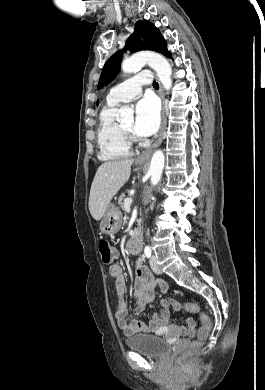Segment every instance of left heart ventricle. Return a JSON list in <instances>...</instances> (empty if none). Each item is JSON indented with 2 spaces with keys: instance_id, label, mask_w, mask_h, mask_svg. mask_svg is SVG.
Returning <instances> with one entry per match:
<instances>
[{
  "instance_id": "left-heart-ventricle-1",
  "label": "left heart ventricle",
  "mask_w": 265,
  "mask_h": 390,
  "mask_svg": "<svg viewBox=\"0 0 265 390\" xmlns=\"http://www.w3.org/2000/svg\"><path fill=\"white\" fill-rule=\"evenodd\" d=\"M123 127H125L129 131H133V127H134L133 119H131L128 122H126L125 124H123Z\"/></svg>"
}]
</instances>
